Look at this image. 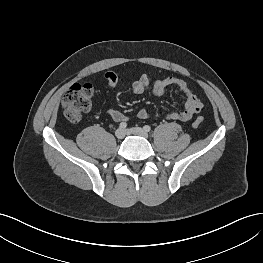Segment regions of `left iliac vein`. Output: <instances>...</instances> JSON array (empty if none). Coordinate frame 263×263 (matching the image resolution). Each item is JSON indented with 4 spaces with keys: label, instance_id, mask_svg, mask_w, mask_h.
Listing matches in <instances>:
<instances>
[{
    "label": "left iliac vein",
    "instance_id": "left-iliac-vein-1",
    "mask_svg": "<svg viewBox=\"0 0 263 263\" xmlns=\"http://www.w3.org/2000/svg\"><path fill=\"white\" fill-rule=\"evenodd\" d=\"M130 133H132L134 135H138V136L144 137V138L148 137V133L144 129L140 128V127H132V128H130Z\"/></svg>",
    "mask_w": 263,
    "mask_h": 263
}]
</instances>
